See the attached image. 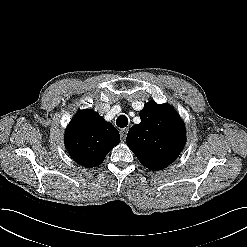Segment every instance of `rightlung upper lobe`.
I'll return each instance as SVG.
<instances>
[{
	"label": "right lung upper lobe",
	"instance_id": "1",
	"mask_svg": "<svg viewBox=\"0 0 247 247\" xmlns=\"http://www.w3.org/2000/svg\"><path fill=\"white\" fill-rule=\"evenodd\" d=\"M65 146L78 164L94 167L101 164L112 148L118 145V130L91 109L79 111L67 126Z\"/></svg>",
	"mask_w": 247,
	"mask_h": 247
}]
</instances>
